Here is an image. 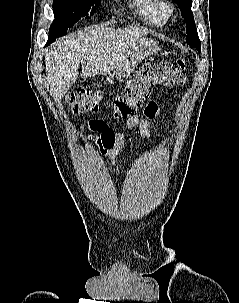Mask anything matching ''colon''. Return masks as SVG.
Wrapping results in <instances>:
<instances>
[{
	"instance_id": "obj_1",
	"label": "colon",
	"mask_w": 239,
	"mask_h": 303,
	"mask_svg": "<svg viewBox=\"0 0 239 303\" xmlns=\"http://www.w3.org/2000/svg\"><path fill=\"white\" fill-rule=\"evenodd\" d=\"M186 81V63L182 59L143 64L127 82L122 92L109 104L110 119H127L133 117L143 105L153 86H175ZM74 114L99 113L102 111L103 95L90 88H78L67 98ZM98 128H105L102 121L96 123Z\"/></svg>"
}]
</instances>
